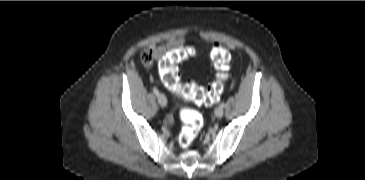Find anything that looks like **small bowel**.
Masks as SVG:
<instances>
[{
	"mask_svg": "<svg viewBox=\"0 0 365 180\" xmlns=\"http://www.w3.org/2000/svg\"><path fill=\"white\" fill-rule=\"evenodd\" d=\"M183 43L182 39H174L170 40L168 43L164 45H159L154 48V55L156 58L163 57L167 52H171L175 48L179 47Z\"/></svg>",
	"mask_w": 365,
	"mask_h": 180,
	"instance_id": "small-bowel-1",
	"label": "small bowel"
}]
</instances>
